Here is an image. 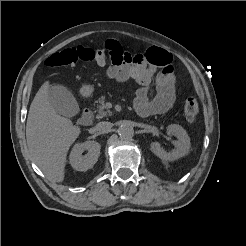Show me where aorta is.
Masks as SVG:
<instances>
[{
    "mask_svg": "<svg viewBox=\"0 0 246 246\" xmlns=\"http://www.w3.org/2000/svg\"><path fill=\"white\" fill-rule=\"evenodd\" d=\"M119 136L123 139H130L134 135V129L129 124H123L118 129Z\"/></svg>",
    "mask_w": 246,
    "mask_h": 246,
    "instance_id": "762f6f07",
    "label": "aorta"
}]
</instances>
